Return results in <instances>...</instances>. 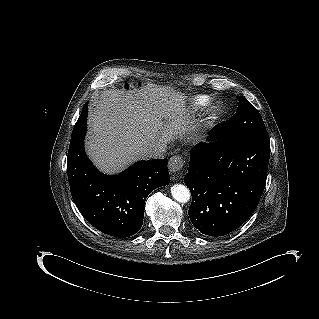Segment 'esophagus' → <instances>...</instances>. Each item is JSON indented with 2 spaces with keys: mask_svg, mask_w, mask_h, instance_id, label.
<instances>
[{
  "mask_svg": "<svg viewBox=\"0 0 319 319\" xmlns=\"http://www.w3.org/2000/svg\"><path fill=\"white\" fill-rule=\"evenodd\" d=\"M183 168V159L179 155H175L170 158L168 163V169L171 174H178Z\"/></svg>",
  "mask_w": 319,
  "mask_h": 319,
  "instance_id": "esophagus-1",
  "label": "esophagus"
}]
</instances>
